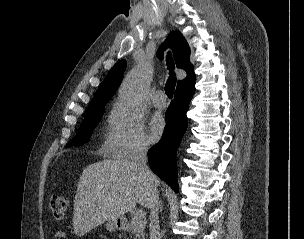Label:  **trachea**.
<instances>
[{
	"mask_svg": "<svg viewBox=\"0 0 304 239\" xmlns=\"http://www.w3.org/2000/svg\"><path fill=\"white\" fill-rule=\"evenodd\" d=\"M167 66H168V69L170 71V76L165 84V93L166 95L169 97V98H172L173 97V93H174V89H175V85H176V76L173 72V66H174V63H173V60L171 58V55L170 53H168L167 55Z\"/></svg>",
	"mask_w": 304,
	"mask_h": 239,
	"instance_id": "obj_1",
	"label": "trachea"
}]
</instances>
